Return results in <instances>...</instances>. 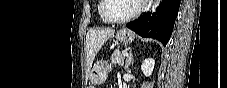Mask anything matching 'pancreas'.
I'll return each instance as SVG.
<instances>
[{"instance_id": "cf45deb5", "label": "pancreas", "mask_w": 227, "mask_h": 88, "mask_svg": "<svg viewBox=\"0 0 227 88\" xmlns=\"http://www.w3.org/2000/svg\"><path fill=\"white\" fill-rule=\"evenodd\" d=\"M124 51L115 50L111 55V62L113 65H123L125 57L123 56Z\"/></svg>"}]
</instances>
